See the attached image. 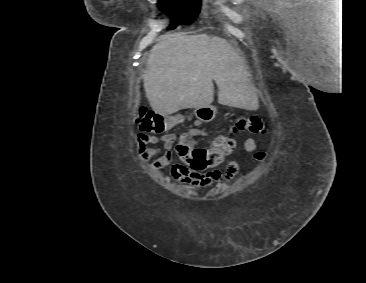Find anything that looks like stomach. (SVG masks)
<instances>
[{"label":"stomach","mask_w":366,"mask_h":283,"mask_svg":"<svg viewBox=\"0 0 366 283\" xmlns=\"http://www.w3.org/2000/svg\"><path fill=\"white\" fill-rule=\"evenodd\" d=\"M194 114L201 122H210L215 118L217 114V108L211 105L197 107L194 110Z\"/></svg>","instance_id":"0dacf381"}]
</instances>
